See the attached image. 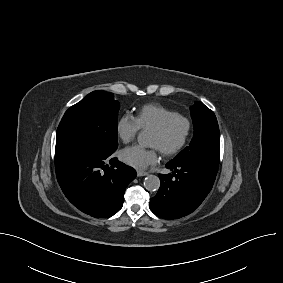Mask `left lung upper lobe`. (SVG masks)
<instances>
[{
    "mask_svg": "<svg viewBox=\"0 0 283 283\" xmlns=\"http://www.w3.org/2000/svg\"><path fill=\"white\" fill-rule=\"evenodd\" d=\"M194 124V137L190 145L172 161H201L218 170L220 156V132L216 116L202 102H195L190 108Z\"/></svg>",
    "mask_w": 283,
    "mask_h": 283,
    "instance_id": "left-lung-upper-lobe-1",
    "label": "left lung upper lobe"
}]
</instances>
